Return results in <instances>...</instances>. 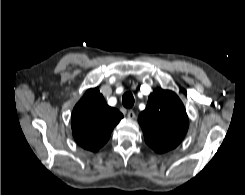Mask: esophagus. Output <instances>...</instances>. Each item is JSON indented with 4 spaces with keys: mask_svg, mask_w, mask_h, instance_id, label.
<instances>
[{
    "mask_svg": "<svg viewBox=\"0 0 245 195\" xmlns=\"http://www.w3.org/2000/svg\"><path fill=\"white\" fill-rule=\"evenodd\" d=\"M127 117H128L129 119H134V118L136 117L135 112H134L133 110H129V111L127 112Z\"/></svg>",
    "mask_w": 245,
    "mask_h": 195,
    "instance_id": "obj_1",
    "label": "esophagus"
}]
</instances>
